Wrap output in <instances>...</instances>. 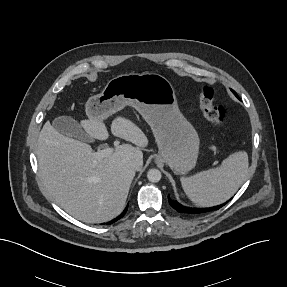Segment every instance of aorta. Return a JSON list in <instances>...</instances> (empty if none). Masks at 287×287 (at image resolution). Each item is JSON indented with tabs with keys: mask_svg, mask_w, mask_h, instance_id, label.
<instances>
[{
	"mask_svg": "<svg viewBox=\"0 0 287 287\" xmlns=\"http://www.w3.org/2000/svg\"><path fill=\"white\" fill-rule=\"evenodd\" d=\"M161 172L158 169H150L147 172V178L150 182L156 183L159 182L161 180Z\"/></svg>",
	"mask_w": 287,
	"mask_h": 287,
	"instance_id": "obj_1",
	"label": "aorta"
}]
</instances>
